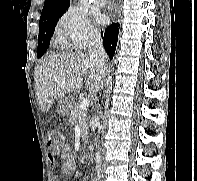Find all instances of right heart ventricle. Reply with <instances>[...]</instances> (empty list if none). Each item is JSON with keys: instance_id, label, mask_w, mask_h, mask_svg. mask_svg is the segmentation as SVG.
Here are the masks:
<instances>
[{"instance_id": "1", "label": "right heart ventricle", "mask_w": 197, "mask_h": 181, "mask_svg": "<svg viewBox=\"0 0 197 181\" xmlns=\"http://www.w3.org/2000/svg\"><path fill=\"white\" fill-rule=\"evenodd\" d=\"M57 43L59 46L65 45L61 40L57 39Z\"/></svg>"}]
</instances>
